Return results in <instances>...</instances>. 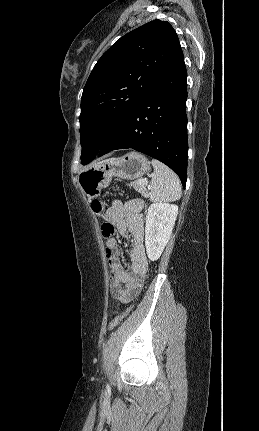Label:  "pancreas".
<instances>
[{
  "instance_id": "1",
  "label": "pancreas",
  "mask_w": 259,
  "mask_h": 431,
  "mask_svg": "<svg viewBox=\"0 0 259 431\" xmlns=\"http://www.w3.org/2000/svg\"><path fill=\"white\" fill-rule=\"evenodd\" d=\"M131 186H133V188L138 191L143 197L145 198H149V192L147 190V185L146 183L142 184L139 182V180L134 181L131 183Z\"/></svg>"
}]
</instances>
